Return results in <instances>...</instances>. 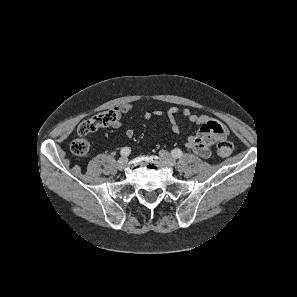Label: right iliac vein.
Masks as SVG:
<instances>
[{
  "instance_id": "1",
  "label": "right iliac vein",
  "mask_w": 297,
  "mask_h": 297,
  "mask_svg": "<svg viewBox=\"0 0 297 297\" xmlns=\"http://www.w3.org/2000/svg\"><path fill=\"white\" fill-rule=\"evenodd\" d=\"M128 164V159L126 157H122L117 161V168L119 170H123Z\"/></svg>"
}]
</instances>
